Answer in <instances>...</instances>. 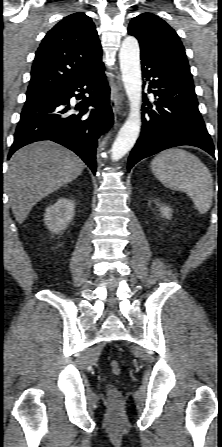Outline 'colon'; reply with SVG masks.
<instances>
[{
	"mask_svg": "<svg viewBox=\"0 0 222 447\" xmlns=\"http://www.w3.org/2000/svg\"><path fill=\"white\" fill-rule=\"evenodd\" d=\"M110 366H111V370H112L113 374H115V375L120 374V367H119L118 362L112 361ZM107 397H108V400L114 404L118 403L121 400L120 391L115 387H113L109 390Z\"/></svg>",
	"mask_w": 222,
	"mask_h": 447,
	"instance_id": "colon-1",
	"label": "colon"
}]
</instances>
